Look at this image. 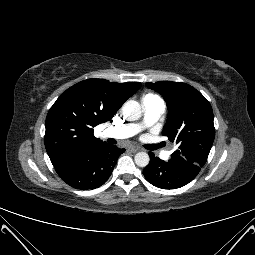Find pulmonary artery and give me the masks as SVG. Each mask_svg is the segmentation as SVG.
I'll return each mask as SVG.
<instances>
[{
  "label": "pulmonary artery",
  "instance_id": "pulmonary-artery-1",
  "mask_svg": "<svg viewBox=\"0 0 255 255\" xmlns=\"http://www.w3.org/2000/svg\"><path fill=\"white\" fill-rule=\"evenodd\" d=\"M144 120L141 124H127L119 127H111L103 132L105 137L125 139L135 135L143 126L155 123L165 111V103L159 97L142 102Z\"/></svg>",
  "mask_w": 255,
  "mask_h": 255
}]
</instances>
